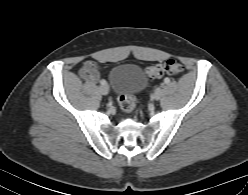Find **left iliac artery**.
Instances as JSON below:
<instances>
[{
	"mask_svg": "<svg viewBox=\"0 0 248 195\" xmlns=\"http://www.w3.org/2000/svg\"><path fill=\"white\" fill-rule=\"evenodd\" d=\"M164 82H165L166 84H168V83L170 82V79H169V78H165ZM157 89H159V88H157ZM157 89H156V90H157ZM156 90H155V91H156Z\"/></svg>",
	"mask_w": 248,
	"mask_h": 195,
	"instance_id": "44dca946",
	"label": "left iliac artery"
}]
</instances>
